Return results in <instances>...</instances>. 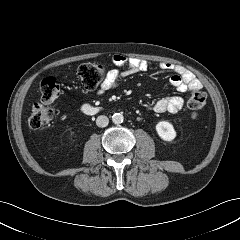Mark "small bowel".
Returning <instances> with one entry per match:
<instances>
[{"instance_id":"obj_1","label":"small bowel","mask_w":240,"mask_h":240,"mask_svg":"<svg viewBox=\"0 0 240 240\" xmlns=\"http://www.w3.org/2000/svg\"><path fill=\"white\" fill-rule=\"evenodd\" d=\"M115 68L109 70L105 75L100 88L99 94L105 93L117 86L121 78L146 72L149 68L147 61L126 57L124 55L116 54L111 59ZM158 68L164 72H172L170 77V84L179 92H186L188 90H196L201 88L200 81L189 71L181 66L170 62H160ZM184 104V100L180 96L163 97L150 105V108L156 113H176Z\"/></svg>"}]
</instances>
